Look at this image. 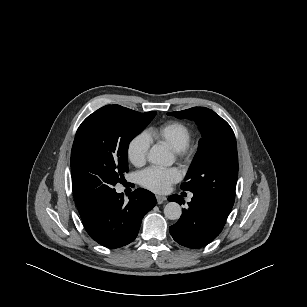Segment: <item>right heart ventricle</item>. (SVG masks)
<instances>
[{
  "label": "right heart ventricle",
  "instance_id": "e07e8e85",
  "mask_svg": "<svg viewBox=\"0 0 307 307\" xmlns=\"http://www.w3.org/2000/svg\"><path fill=\"white\" fill-rule=\"evenodd\" d=\"M145 136L148 140L168 146L178 151L191 141L192 131L188 125L179 121H170L161 126L149 129Z\"/></svg>",
  "mask_w": 307,
  "mask_h": 307
}]
</instances>
